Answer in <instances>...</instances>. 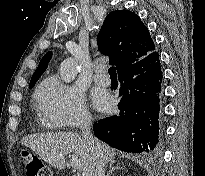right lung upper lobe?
<instances>
[{
    "mask_svg": "<svg viewBox=\"0 0 205 176\" xmlns=\"http://www.w3.org/2000/svg\"><path fill=\"white\" fill-rule=\"evenodd\" d=\"M97 42L103 54L110 56V63L116 65L119 74L128 66L156 52L147 27L139 16L128 10H115L106 16ZM51 57V52L43 56L29 88L34 86L46 70Z\"/></svg>",
    "mask_w": 205,
    "mask_h": 176,
    "instance_id": "1",
    "label": "right lung upper lobe"
}]
</instances>
